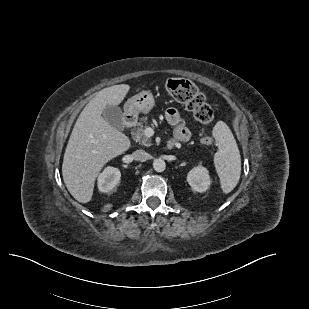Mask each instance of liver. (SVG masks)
Wrapping results in <instances>:
<instances>
[{
	"label": "liver",
	"mask_w": 309,
	"mask_h": 309,
	"mask_svg": "<svg viewBox=\"0 0 309 309\" xmlns=\"http://www.w3.org/2000/svg\"><path fill=\"white\" fill-rule=\"evenodd\" d=\"M129 90L127 84L102 89L85 106L74 125L63 158L62 175L68 191L80 203L91 200L103 166L131 145L129 138L102 116L106 106L119 105Z\"/></svg>",
	"instance_id": "liver-1"
}]
</instances>
